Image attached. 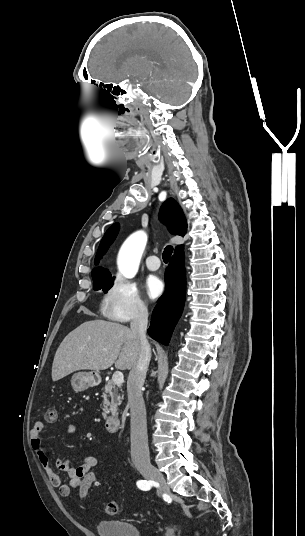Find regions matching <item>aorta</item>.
I'll return each mask as SVG.
<instances>
[{"label": "aorta", "instance_id": "obj_1", "mask_svg": "<svg viewBox=\"0 0 305 536\" xmlns=\"http://www.w3.org/2000/svg\"><path fill=\"white\" fill-rule=\"evenodd\" d=\"M147 243L144 231L133 233L122 245L118 254V270L125 278H133L140 265V260Z\"/></svg>", "mask_w": 305, "mask_h": 536}]
</instances>
